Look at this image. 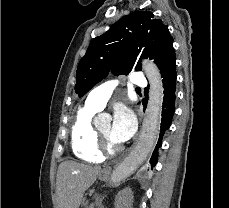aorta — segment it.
I'll list each match as a JSON object with an SVG mask.
<instances>
[{"instance_id": "aorta-1", "label": "aorta", "mask_w": 229, "mask_h": 208, "mask_svg": "<svg viewBox=\"0 0 229 208\" xmlns=\"http://www.w3.org/2000/svg\"><path fill=\"white\" fill-rule=\"evenodd\" d=\"M143 70L149 82L148 104L143 121L141 136L135 148L113 171L111 183L116 184L129 177L150 154L160 128L163 104V83L158 67L150 60L143 61ZM108 114H100L98 121L109 120Z\"/></svg>"}]
</instances>
